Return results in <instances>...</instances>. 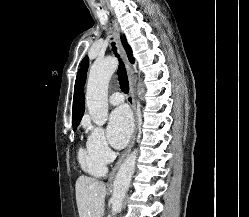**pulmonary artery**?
<instances>
[{"label": "pulmonary artery", "mask_w": 249, "mask_h": 217, "mask_svg": "<svg viewBox=\"0 0 249 217\" xmlns=\"http://www.w3.org/2000/svg\"><path fill=\"white\" fill-rule=\"evenodd\" d=\"M124 101V96L120 92H115L109 97V102L112 105H119Z\"/></svg>", "instance_id": "1"}]
</instances>
